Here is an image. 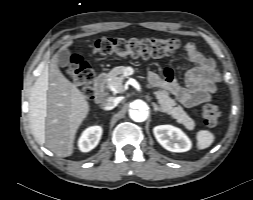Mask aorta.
<instances>
[{
    "mask_svg": "<svg viewBox=\"0 0 253 200\" xmlns=\"http://www.w3.org/2000/svg\"><path fill=\"white\" fill-rule=\"evenodd\" d=\"M147 105L142 100H137L132 103V109L129 113L130 118L135 122H143L147 119Z\"/></svg>",
    "mask_w": 253,
    "mask_h": 200,
    "instance_id": "1",
    "label": "aorta"
}]
</instances>
